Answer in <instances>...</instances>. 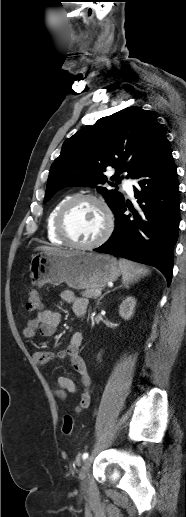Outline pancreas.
I'll list each match as a JSON object with an SVG mask.
<instances>
[{
  "label": "pancreas",
  "instance_id": "1",
  "mask_svg": "<svg viewBox=\"0 0 186 517\" xmlns=\"http://www.w3.org/2000/svg\"><path fill=\"white\" fill-rule=\"evenodd\" d=\"M99 290L98 288H90V289H86L85 291H83L81 293V295L83 297H86V298H93V299H96L98 296L96 295V291Z\"/></svg>",
  "mask_w": 186,
  "mask_h": 517
}]
</instances>
